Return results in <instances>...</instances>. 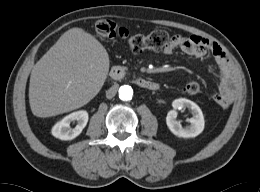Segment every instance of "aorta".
<instances>
[{
    "mask_svg": "<svg viewBox=\"0 0 260 192\" xmlns=\"http://www.w3.org/2000/svg\"><path fill=\"white\" fill-rule=\"evenodd\" d=\"M133 89L129 85H123L119 88V98L123 101L132 99Z\"/></svg>",
    "mask_w": 260,
    "mask_h": 192,
    "instance_id": "aorta-1",
    "label": "aorta"
}]
</instances>
